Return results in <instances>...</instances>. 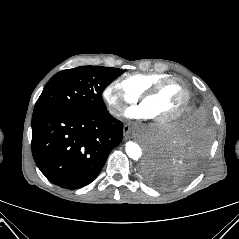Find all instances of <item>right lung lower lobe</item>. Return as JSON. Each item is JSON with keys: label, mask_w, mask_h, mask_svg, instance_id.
Returning <instances> with one entry per match:
<instances>
[{"label": "right lung lower lobe", "mask_w": 239, "mask_h": 239, "mask_svg": "<svg viewBox=\"0 0 239 239\" xmlns=\"http://www.w3.org/2000/svg\"><path fill=\"white\" fill-rule=\"evenodd\" d=\"M123 124L107 110L49 109L33 112L32 154L55 185L77 189L91 183L121 142Z\"/></svg>", "instance_id": "1"}]
</instances>
